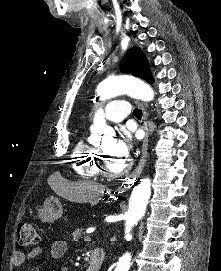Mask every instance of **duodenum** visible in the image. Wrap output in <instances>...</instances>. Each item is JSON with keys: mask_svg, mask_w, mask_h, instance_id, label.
I'll return each mask as SVG.
<instances>
[{"mask_svg": "<svg viewBox=\"0 0 221 271\" xmlns=\"http://www.w3.org/2000/svg\"><path fill=\"white\" fill-rule=\"evenodd\" d=\"M105 260V252L100 248H96L90 255V263L86 271H100Z\"/></svg>", "mask_w": 221, "mask_h": 271, "instance_id": "obj_1", "label": "duodenum"}]
</instances>
